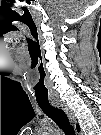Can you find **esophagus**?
I'll list each match as a JSON object with an SVG mask.
<instances>
[{"label": "esophagus", "mask_w": 101, "mask_h": 135, "mask_svg": "<svg viewBox=\"0 0 101 135\" xmlns=\"http://www.w3.org/2000/svg\"><path fill=\"white\" fill-rule=\"evenodd\" d=\"M52 105L64 110V112L66 113L70 122L73 124V126L76 127L77 121H76L75 115H74L73 111L68 107V105L64 101H62V100L52 101Z\"/></svg>", "instance_id": "1"}]
</instances>
